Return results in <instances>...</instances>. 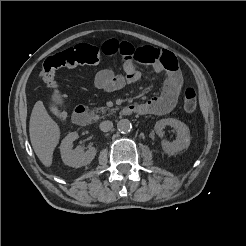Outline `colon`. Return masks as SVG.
<instances>
[{
	"label": "colon",
	"mask_w": 246,
	"mask_h": 246,
	"mask_svg": "<svg viewBox=\"0 0 246 246\" xmlns=\"http://www.w3.org/2000/svg\"><path fill=\"white\" fill-rule=\"evenodd\" d=\"M100 60V50L88 44H78L75 47L49 56L43 63L40 78L43 83L52 90L53 99L51 110L57 120H63L66 116L64 106L59 102V91L55 80V73L63 67L77 65L97 64ZM183 107L186 112H193L197 108V95L193 88L184 91Z\"/></svg>",
	"instance_id": "5ec220e1"
}]
</instances>
